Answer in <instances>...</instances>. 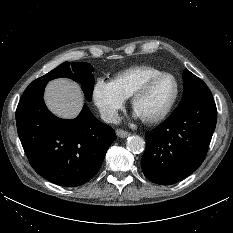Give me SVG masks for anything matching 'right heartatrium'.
Instances as JSON below:
<instances>
[{
    "label": "right heart atrium",
    "mask_w": 233,
    "mask_h": 233,
    "mask_svg": "<svg viewBox=\"0 0 233 233\" xmlns=\"http://www.w3.org/2000/svg\"><path fill=\"white\" fill-rule=\"evenodd\" d=\"M92 97L102 117L108 122H115L125 104V98L116 90L113 83L98 79L94 84Z\"/></svg>",
    "instance_id": "d8ad5b80"
}]
</instances>
